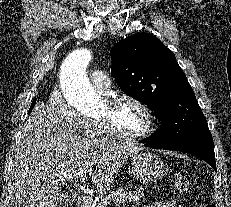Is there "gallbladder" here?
<instances>
[{"mask_svg":"<svg viewBox=\"0 0 231 207\" xmlns=\"http://www.w3.org/2000/svg\"><path fill=\"white\" fill-rule=\"evenodd\" d=\"M76 202V196L73 194H63L62 201L60 202L61 207H69Z\"/></svg>","mask_w":231,"mask_h":207,"instance_id":"bac80fb5","label":"gallbladder"}]
</instances>
